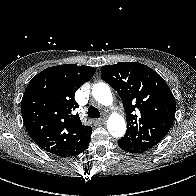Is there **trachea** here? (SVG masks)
Wrapping results in <instances>:
<instances>
[{
	"instance_id": "3493384b",
	"label": "trachea",
	"mask_w": 196,
	"mask_h": 196,
	"mask_svg": "<svg viewBox=\"0 0 196 196\" xmlns=\"http://www.w3.org/2000/svg\"><path fill=\"white\" fill-rule=\"evenodd\" d=\"M100 112L97 108H95L94 106H91L88 108V117L92 118V119H98L100 118Z\"/></svg>"
}]
</instances>
